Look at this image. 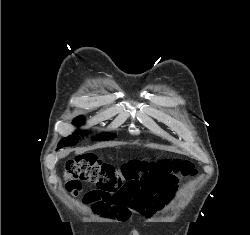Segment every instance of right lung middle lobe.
<instances>
[{"label":"right lung middle lobe","mask_w":250,"mask_h":235,"mask_svg":"<svg viewBox=\"0 0 250 235\" xmlns=\"http://www.w3.org/2000/svg\"><path fill=\"white\" fill-rule=\"evenodd\" d=\"M82 121H83V117H78L77 119L73 121V123L75 125H80ZM80 134H82V132H80ZM115 137L116 135L112 133H100L96 137V139L98 141H104V140H112ZM79 139L80 137L78 136V133H74L73 135L63 138L59 143V147H67V146L75 145Z\"/></svg>","instance_id":"right-lung-middle-lobe-1"}]
</instances>
